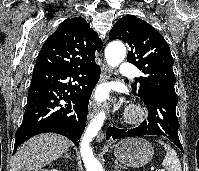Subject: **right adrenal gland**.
Wrapping results in <instances>:
<instances>
[{"instance_id": "right-adrenal-gland-1", "label": "right adrenal gland", "mask_w": 199, "mask_h": 171, "mask_svg": "<svg viewBox=\"0 0 199 171\" xmlns=\"http://www.w3.org/2000/svg\"><path fill=\"white\" fill-rule=\"evenodd\" d=\"M62 158H68V159H70L71 160V157L69 156V154L66 152V153H64V156L62 157Z\"/></svg>"}]
</instances>
